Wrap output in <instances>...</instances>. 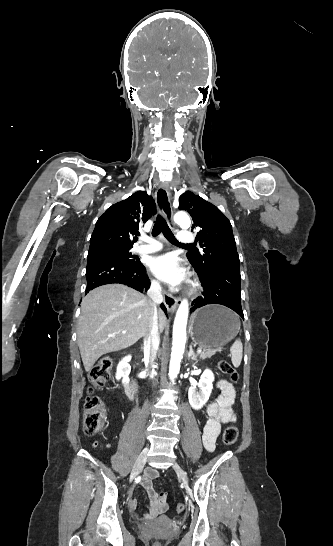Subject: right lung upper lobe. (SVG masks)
I'll list each match as a JSON object with an SVG mask.
<instances>
[{
    "mask_svg": "<svg viewBox=\"0 0 333 546\" xmlns=\"http://www.w3.org/2000/svg\"><path fill=\"white\" fill-rule=\"evenodd\" d=\"M155 213V202L145 191L112 205L96 222L89 252L105 247H133L139 226Z\"/></svg>",
    "mask_w": 333,
    "mask_h": 546,
    "instance_id": "1",
    "label": "right lung upper lobe"
}]
</instances>
